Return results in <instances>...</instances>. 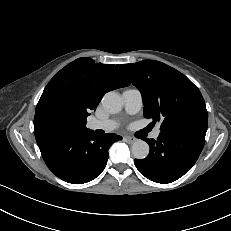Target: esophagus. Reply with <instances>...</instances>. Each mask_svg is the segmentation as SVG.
Listing matches in <instances>:
<instances>
[{
    "label": "esophagus",
    "instance_id": "1",
    "mask_svg": "<svg viewBox=\"0 0 231 231\" xmlns=\"http://www.w3.org/2000/svg\"><path fill=\"white\" fill-rule=\"evenodd\" d=\"M125 141L128 142V143H134L137 141V139L135 137H132V136H126L124 137Z\"/></svg>",
    "mask_w": 231,
    "mask_h": 231
}]
</instances>
